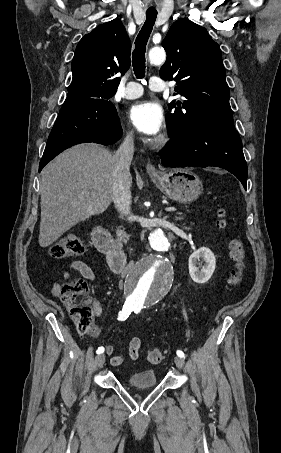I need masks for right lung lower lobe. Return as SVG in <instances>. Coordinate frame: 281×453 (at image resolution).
Wrapping results in <instances>:
<instances>
[{
    "instance_id": "98d812e1",
    "label": "right lung lower lobe",
    "mask_w": 281,
    "mask_h": 453,
    "mask_svg": "<svg viewBox=\"0 0 281 453\" xmlns=\"http://www.w3.org/2000/svg\"><path fill=\"white\" fill-rule=\"evenodd\" d=\"M122 135L116 108L110 101H65L49 135L39 172L65 149L84 142L115 143Z\"/></svg>"
}]
</instances>
